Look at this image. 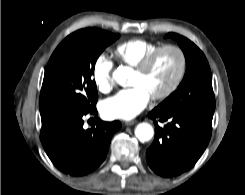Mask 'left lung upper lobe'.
I'll return each mask as SVG.
<instances>
[{"mask_svg": "<svg viewBox=\"0 0 245 195\" xmlns=\"http://www.w3.org/2000/svg\"><path fill=\"white\" fill-rule=\"evenodd\" d=\"M166 37L176 40L184 52L186 72L178 89L157 108L214 112L215 98L211 70L205 55L193 42L183 36L168 33Z\"/></svg>", "mask_w": 245, "mask_h": 195, "instance_id": "5c2ea615", "label": "left lung upper lobe"}]
</instances>
